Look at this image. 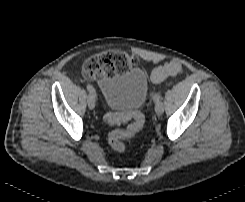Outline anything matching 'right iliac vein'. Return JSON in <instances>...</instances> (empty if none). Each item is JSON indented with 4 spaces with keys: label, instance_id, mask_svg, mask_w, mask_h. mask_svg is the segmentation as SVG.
Listing matches in <instances>:
<instances>
[{
    "label": "right iliac vein",
    "instance_id": "right-iliac-vein-1",
    "mask_svg": "<svg viewBox=\"0 0 245 202\" xmlns=\"http://www.w3.org/2000/svg\"><path fill=\"white\" fill-rule=\"evenodd\" d=\"M87 102H88V107H89L90 109H94V108H95V98H94V96H92V95L90 94V95L88 96Z\"/></svg>",
    "mask_w": 245,
    "mask_h": 202
}]
</instances>
